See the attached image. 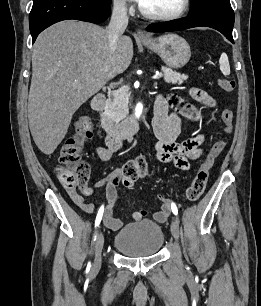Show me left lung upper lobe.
Returning <instances> with one entry per match:
<instances>
[{
    "label": "left lung upper lobe",
    "mask_w": 261,
    "mask_h": 306,
    "mask_svg": "<svg viewBox=\"0 0 261 306\" xmlns=\"http://www.w3.org/2000/svg\"><path fill=\"white\" fill-rule=\"evenodd\" d=\"M232 9L230 0H191L189 15H200Z\"/></svg>",
    "instance_id": "left-lung-upper-lobe-1"
}]
</instances>
